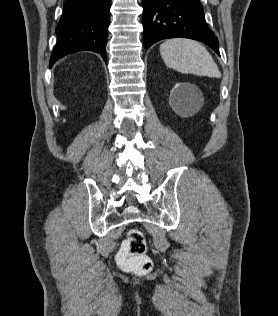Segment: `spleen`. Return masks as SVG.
<instances>
[{"label":"spleen","mask_w":278,"mask_h":316,"mask_svg":"<svg viewBox=\"0 0 278 316\" xmlns=\"http://www.w3.org/2000/svg\"><path fill=\"white\" fill-rule=\"evenodd\" d=\"M160 54L168 67L181 73L221 77L212 56L197 41L185 38L169 39L161 44Z\"/></svg>","instance_id":"3e777b00"}]
</instances>
